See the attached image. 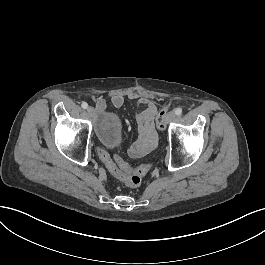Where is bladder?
<instances>
[{"instance_id": "obj_1", "label": "bladder", "mask_w": 265, "mask_h": 265, "mask_svg": "<svg viewBox=\"0 0 265 265\" xmlns=\"http://www.w3.org/2000/svg\"><path fill=\"white\" fill-rule=\"evenodd\" d=\"M96 134L104 146L117 147L121 143L123 135L121 119L114 113L101 114L98 118Z\"/></svg>"}]
</instances>
